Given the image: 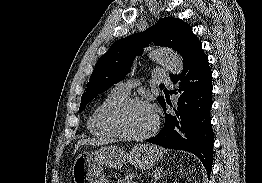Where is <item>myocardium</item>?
Segmentation results:
<instances>
[{
    "mask_svg": "<svg viewBox=\"0 0 262 183\" xmlns=\"http://www.w3.org/2000/svg\"><path fill=\"white\" fill-rule=\"evenodd\" d=\"M147 105L150 106L147 102L138 99V98H126L124 99L122 102H120L119 104H117L108 114V125L110 127V129L115 133L116 136L122 138V139H126V140H131V141H142V140H146L150 137H152L153 135L156 134V132L158 131L159 127H160V118L158 116L157 113L154 112L155 115V124L152 127V129L150 131H148L145 134L142 135H133V134H129L127 133L123 126H122V116L125 113V111L133 106V105Z\"/></svg>",
    "mask_w": 262,
    "mask_h": 183,
    "instance_id": "myocardium-1",
    "label": "myocardium"
}]
</instances>
